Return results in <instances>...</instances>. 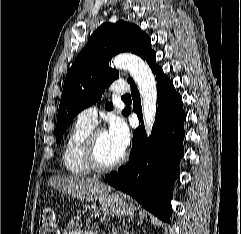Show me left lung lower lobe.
<instances>
[{
	"instance_id": "1",
	"label": "left lung lower lobe",
	"mask_w": 241,
	"mask_h": 234,
	"mask_svg": "<svg viewBox=\"0 0 241 234\" xmlns=\"http://www.w3.org/2000/svg\"><path fill=\"white\" fill-rule=\"evenodd\" d=\"M146 61L157 80V110L152 134L146 138L140 95L135 83L131 82L133 110L141 126L133 133L129 162L105 179L116 189L136 199L146 210L169 222L172 215V186L179 175V162L184 155L182 142L186 116L182 97L175 91L173 82L162 68L157 66L155 52ZM130 112L129 109L128 114Z\"/></svg>"
}]
</instances>
